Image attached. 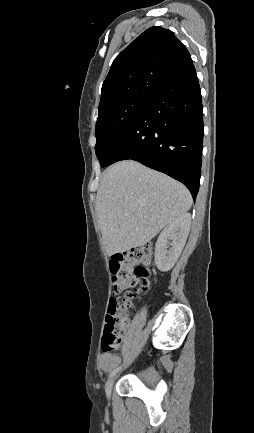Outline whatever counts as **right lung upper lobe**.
Masks as SVG:
<instances>
[{
	"label": "right lung upper lobe",
	"instance_id": "1",
	"mask_svg": "<svg viewBox=\"0 0 254 433\" xmlns=\"http://www.w3.org/2000/svg\"><path fill=\"white\" fill-rule=\"evenodd\" d=\"M191 63L188 50L172 31L150 27L113 61L102 85L99 109L127 99H151Z\"/></svg>",
	"mask_w": 254,
	"mask_h": 433
}]
</instances>
